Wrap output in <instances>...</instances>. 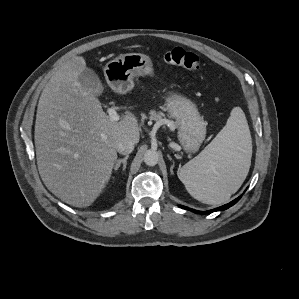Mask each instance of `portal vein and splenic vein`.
<instances>
[{
  "mask_svg": "<svg viewBox=\"0 0 299 299\" xmlns=\"http://www.w3.org/2000/svg\"><path fill=\"white\" fill-rule=\"evenodd\" d=\"M107 111H108L110 120H112V121L120 120V116L117 114V112L115 111V109L113 107H109Z\"/></svg>",
  "mask_w": 299,
  "mask_h": 299,
  "instance_id": "18ae733b",
  "label": "portal vein and splenic vein"
}]
</instances>
